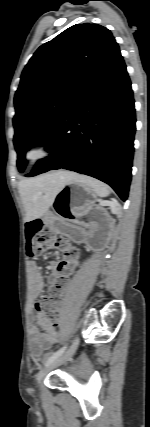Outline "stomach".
<instances>
[{"label": "stomach", "instance_id": "0dacf381", "mask_svg": "<svg viewBox=\"0 0 150 427\" xmlns=\"http://www.w3.org/2000/svg\"><path fill=\"white\" fill-rule=\"evenodd\" d=\"M96 198L92 188L74 178L59 190L51 207L58 217L75 222L86 214Z\"/></svg>", "mask_w": 150, "mask_h": 427}]
</instances>
